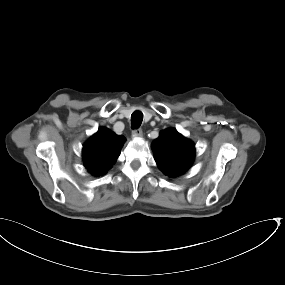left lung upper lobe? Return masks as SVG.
Masks as SVG:
<instances>
[{
	"label": "left lung upper lobe",
	"mask_w": 285,
	"mask_h": 285,
	"mask_svg": "<svg viewBox=\"0 0 285 285\" xmlns=\"http://www.w3.org/2000/svg\"><path fill=\"white\" fill-rule=\"evenodd\" d=\"M152 149L159 169L169 177L185 173L194 160V144L173 128L161 131Z\"/></svg>",
	"instance_id": "1"
}]
</instances>
